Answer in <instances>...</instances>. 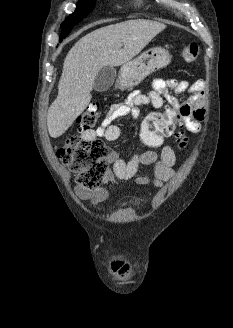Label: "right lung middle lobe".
Listing matches in <instances>:
<instances>
[{
  "mask_svg": "<svg viewBox=\"0 0 233 328\" xmlns=\"http://www.w3.org/2000/svg\"><path fill=\"white\" fill-rule=\"evenodd\" d=\"M95 1L96 0H79L76 11L68 16L67 20L62 23L61 27L74 26L79 23L83 17L88 15L94 9Z\"/></svg>",
  "mask_w": 233,
  "mask_h": 328,
  "instance_id": "dd1d6c3e",
  "label": "right lung middle lobe"
}]
</instances>
